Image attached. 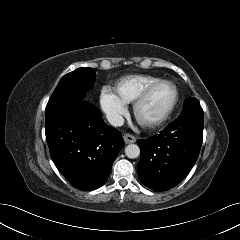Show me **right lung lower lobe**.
<instances>
[{
  "mask_svg": "<svg viewBox=\"0 0 240 240\" xmlns=\"http://www.w3.org/2000/svg\"><path fill=\"white\" fill-rule=\"evenodd\" d=\"M45 117L50 155L60 172L75 188L101 187L124 146L120 132L86 100L47 107Z\"/></svg>",
  "mask_w": 240,
  "mask_h": 240,
  "instance_id": "obj_1",
  "label": "right lung lower lobe"
}]
</instances>
